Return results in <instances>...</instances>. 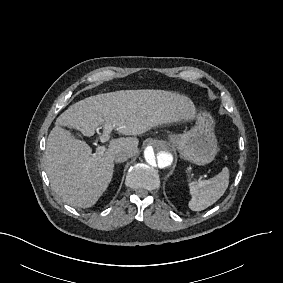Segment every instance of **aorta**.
Here are the masks:
<instances>
[{"label":"aorta","mask_w":283,"mask_h":283,"mask_svg":"<svg viewBox=\"0 0 283 283\" xmlns=\"http://www.w3.org/2000/svg\"><path fill=\"white\" fill-rule=\"evenodd\" d=\"M144 161L151 171L164 173L173 166V148L164 140H150L144 150Z\"/></svg>","instance_id":"1"}]
</instances>
